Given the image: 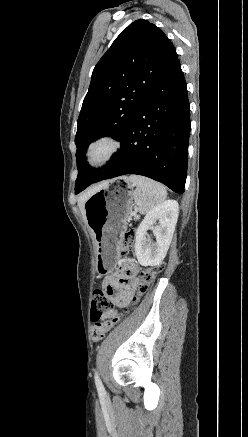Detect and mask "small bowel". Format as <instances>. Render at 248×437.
Here are the masks:
<instances>
[{
    "instance_id": "obj_1",
    "label": "small bowel",
    "mask_w": 248,
    "mask_h": 437,
    "mask_svg": "<svg viewBox=\"0 0 248 437\" xmlns=\"http://www.w3.org/2000/svg\"><path fill=\"white\" fill-rule=\"evenodd\" d=\"M138 270L137 264L128 261L120 264L115 273L103 280V290L118 307H127L133 299L139 283Z\"/></svg>"
}]
</instances>
